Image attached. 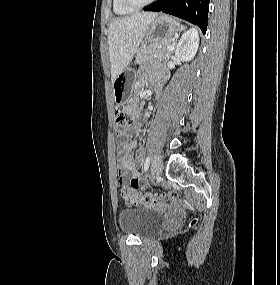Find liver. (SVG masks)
<instances>
[{"instance_id":"obj_1","label":"liver","mask_w":280,"mask_h":285,"mask_svg":"<svg viewBox=\"0 0 280 285\" xmlns=\"http://www.w3.org/2000/svg\"><path fill=\"white\" fill-rule=\"evenodd\" d=\"M157 13H134L114 20L109 27L108 45L111 63V80L129 65Z\"/></svg>"}]
</instances>
